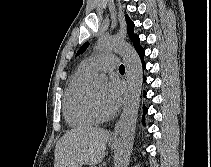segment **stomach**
Listing matches in <instances>:
<instances>
[{
  "instance_id": "obj_1",
  "label": "stomach",
  "mask_w": 211,
  "mask_h": 167,
  "mask_svg": "<svg viewBox=\"0 0 211 167\" xmlns=\"http://www.w3.org/2000/svg\"><path fill=\"white\" fill-rule=\"evenodd\" d=\"M109 144H110V146H111L112 148H115V147H116V144H114V143H112V142H110Z\"/></svg>"
}]
</instances>
